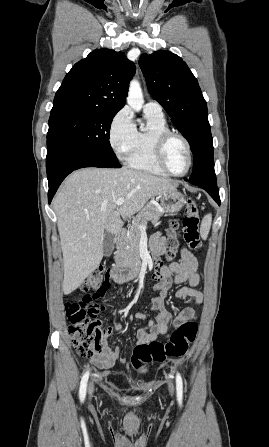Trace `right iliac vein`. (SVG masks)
Instances as JSON below:
<instances>
[{
    "label": "right iliac vein",
    "instance_id": "obj_1",
    "mask_svg": "<svg viewBox=\"0 0 269 447\" xmlns=\"http://www.w3.org/2000/svg\"><path fill=\"white\" fill-rule=\"evenodd\" d=\"M88 391H89V395H91L93 393V385L92 384L89 385Z\"/></svg>",
    "mask_w": 269,
    "mask_h": 447
}]
</instances>
